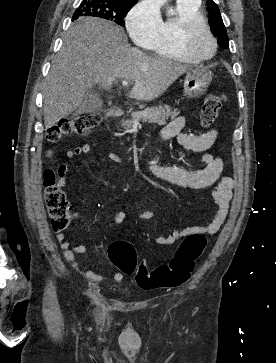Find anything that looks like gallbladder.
I'll return each mask as SVG.
<instances>
[{"instance_id": "obj_1", "label": "gallbladder", "mask_w": 276, "mask_h": 363, "mask_svg": "<svg viewBox=\"0 0 276 363\" xmlns=\"http://www.w3.org/2000/svg\"><path fill=\"white\" fill-rule=\"evenodd\" d=\"M102 107L103 103L100 96L91 90L84 98V102L75 110L73 115L77 116L79 114L99 111Z\"/></svg>"}]
</instances>
